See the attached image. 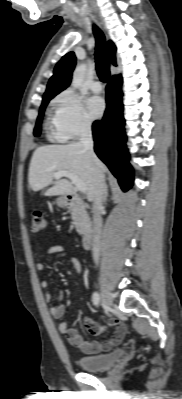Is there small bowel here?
Here are the masks:
<instances>
[{"instance_id": "small-bowel-1", "label": "small bowel", "mask_w": 182, "mask_h": 399, "mask_svg": "<svg viewBox=\"0 0 182 399\" xmlns=\"http://www.w3.org/2000/svg\"><path fill=\"white\" fill-rule=\"evenodd\" d=\"M46 255L52 257L54 260L66 259L73 264L78 274L82 272V266L78 258L73 254L67 253L63 246L55 245L48 248L46 251ZM36 267L38 270L42 271L45 269V263L40 260L36 263ZM49 285L50 282L47 280L41 282V286L44 289H48ZM62 297V291L58 292L56 301L52 300L51 293L47 292L45 294L46 302L50 303V314L54 319H61L65 314V307L59 303ZM84 323L87 331L93 336H99L106 331L105 327L99 325L90 318H84ZM108 325L109 327L113 328L114 331L111 338L107 341H86L78 334L75 329L70 328L66 321L60 322L58 329L59 332L70 344L79 348L83 353L92 355L100 352L109 351L121 340L125 330L124 324L118 318L112 317L110 318Z\"/></svg>"}]
</instances>
